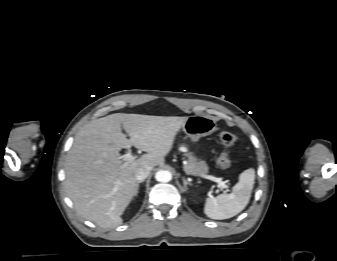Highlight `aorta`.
Returning <instances> with one entry per match:
<instances>
[{
    "label": "aorta",
    "instance_id": "1",
    "mask_svg": "<svg viewBox=\"0 0 337 261\" xmlns=\"http://www.w3.org/2000/svg\"><path fill=\"white\" fill-rule=\"evenodd\" d=\"M155 179L159 182H169L172 179V174L168 170H159L155 174Z\"/></svg>",
    "mask_w": 337,
    "mask_h": 261
}]
</instances>
